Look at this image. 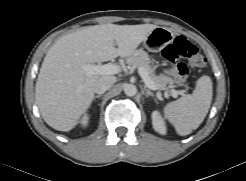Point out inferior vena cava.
<instances>
[{"label": "inferior vena cava", "mask_w": 246, "mask_h": 181, "mask_svg": "<svg viewBox=\"0 0 246 181\" xmlns=\"http://www.w3.org/2000/svg\"><path fill=\"white\" fill-rule=\"evenodd\" d=\"M116 78L114 76H103L95 84L94 91L97 94H103L106 92L114 83Z\"/></svg>", "instance_id": "602c4592"}]
</instances>
